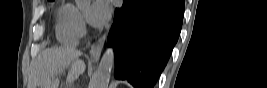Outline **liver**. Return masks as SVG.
<instances>
[{
	"instance_id": "obj_1",
	"label": "liver",
	"mask_w": 267,
	"mask_h": 88,
	"mask_svg": "<svg viewBox=\"0 0 267 88\" xmlns=\"http://www.w3.org/2000/svg\"><path fill=\"white\" fill-rule=\"evenodd\" d=\"M82 53L69 47L45 49L34 61L28 88H58L59 79L55 78L70 67L67 81L73 82L84 73L86 65L79 59Z\"/></svg>"
}]
</instances>
